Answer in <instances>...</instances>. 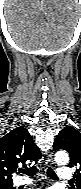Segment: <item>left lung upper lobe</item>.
Segmentation results:
<instances>
[{"label":"left lung upper lobe","instance_id":"1","mask_svg":"<svg viewBox=\"0 0 81 189\" xmlns=\"http://www.w3.org/2000/svg\"><path fill=\"white\" fill-rule=\"evenodd\" d=\"M66 150L70 155L69 167H75L77 189H81V133L71 126L65 127L56 137L53 151Z\"/></svg>","mask_w":81,"mask_h":189}]
</instances>
